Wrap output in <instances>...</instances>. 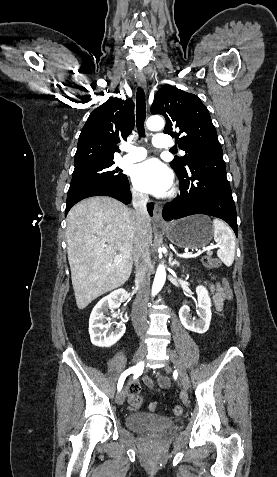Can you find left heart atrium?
I'll return each instance as SVG.
<instances>
[{
    "label": "left heart atrium",
    "instance_id": "39dd6f15",
    "mask_svg": "<svg viewBox=\"0 0 277 477\" xmlns=\"http://www.w3.org/2000/svg\"><path fill=\"white\" fill-rule=\"evenodd\" d=\"M132 179L140 190L156 196L167 194L173 184L171 171L155 158L134 166Z\"/></svg>",
    "mask_w": 277,
    "mask_h": 477
}]
</instances>
